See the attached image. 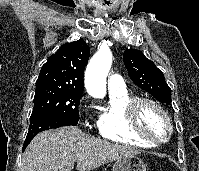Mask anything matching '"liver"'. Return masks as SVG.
I'll use <instances>...</instances> for the list:
<instances>
[{
	"instance_id": "6515ba94",
	"label": "liver",
	"mask_w": 199,
	"mask_h": 171,
	"mask_svg": "<svg viewBox=\"0 0 199 171\" xmlns=\"http://www.w3.org/2000/svg\"><path fill=\"white\" fill-rule=\"evenodd\" d=\"M139 154L126 145L87 135L74 126L39 133L28 145L20 171H91L125 156Z\"/></svg>"
}]
</instances>
